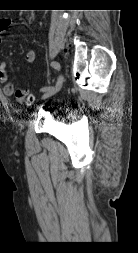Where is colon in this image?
I'll return each mask as SVG.
<instances>
[{
    "label": "colon",
    "instance_id": "obj_1",
    "mask_svg": "<svg viewBox=\"0 0 138 253\" xmlns=\"http://www.w3.org/2000/svg\"><path fill=\"white\" fill-rule=\"evenodd\" d=\"M14 96L21 104L31 105L34 101L33 96H31L24 88H17L14 92Z\"/></svg>",
    "mask_w": 138,
    "mask_h": 253
}]
</instances>
